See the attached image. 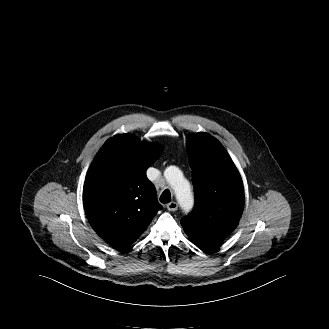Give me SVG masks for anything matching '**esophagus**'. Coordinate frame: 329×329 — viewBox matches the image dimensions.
Masks as SVG:
<instances>
[{
  "label": "esophagus",
  "instance_id": "34e87169",
  "mask_svg": "<svg viewBox=\"0 0 329 329\" xmlns=\"http://www.w3.org/2000/svg\"><path fill=\"white\" fill-rule=\"evenodd\" d=\"M167 209L174 212L178 209V204L176 202H170L167 204Z\"/></svg>",
  "mask_w": 329,
  "mask_h": 329
}]
</instances>
